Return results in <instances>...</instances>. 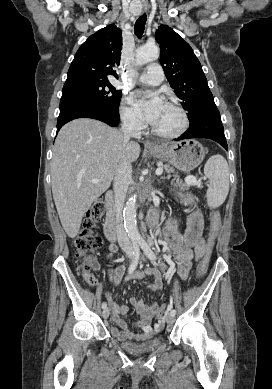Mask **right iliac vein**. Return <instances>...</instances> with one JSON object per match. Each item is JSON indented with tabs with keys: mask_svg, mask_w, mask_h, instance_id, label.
<instances>
[{
	"mask_svg": "<svg viewBox=\"0 0 272 389\" xmlns=\"http://www.w3.org/2000/svg\"><path fill=\"white\" fill-rule=\"evenodd\" d=\"M128 258L129 259H132L133 258V253H129L128 254ZM109 314H110V311H109V308H105L102 312V316L104 319H107L109 317Z\"/></svg>",
	"mask_w": 272,
	"mask_h": 389,
	"instance_id": "right-iliac-vein-1",
	"label": "right iliac vein"
}]
</instances>
